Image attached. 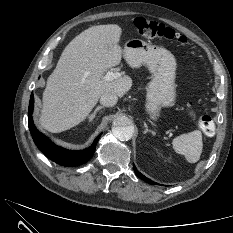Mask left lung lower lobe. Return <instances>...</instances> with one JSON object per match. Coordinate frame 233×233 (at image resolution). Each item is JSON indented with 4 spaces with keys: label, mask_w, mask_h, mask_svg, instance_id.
<instances>
[{
    "label": "left lung lower lobe",
    "mask_w": 233,
    "mask_h": 233,
    "mask_svg": "<svg viewBox=\"0 0 233 233\" xmlns=\"http://www.w3.org/2000/svg\"><path fill=\"white\" fill-rule=\"evenodd\" d=\"M133 167H134V170H135L136 175H137L139 178L145 180L146 182H148V183H150V184H156L155 182L151 181L150 179H148V178H146L144 175H142L140 172H138V170L136 169L135 165H133Z\"/></svg>",
    "instance_id": "0a47b994"
}]
</instances>
